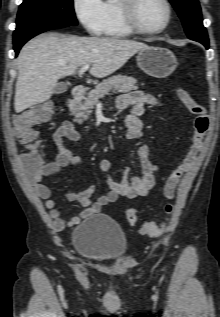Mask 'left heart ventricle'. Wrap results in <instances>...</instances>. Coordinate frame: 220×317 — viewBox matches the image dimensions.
Masks as SVG:
<instances>
[{"label":"left heart ventricle","mask_w":220,"mask_h":317,"mask_svg":"<svg viewBox=\"0 0 220 317\" xmlns=\"http://www.w3.org/2000/svg\"><path fill=\"white\" fill-rule=\"evenodd\" d=\"M167 10L162 0H141L137 19L145 29H157L166 21Z\"/></svg>","instance_id":"1"}]
</instances>
